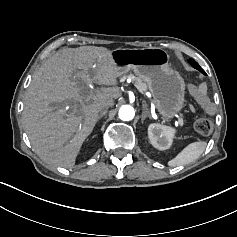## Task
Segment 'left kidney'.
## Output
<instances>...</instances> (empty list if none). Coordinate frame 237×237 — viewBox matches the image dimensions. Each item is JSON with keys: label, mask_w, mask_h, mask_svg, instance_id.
<instances>
[{"label": "left kidney", "mask_w": 237, "mask_h": 237, "mask_svg": "<svg viewBox=\"0 0 237 237\" xmlns=\"http://www.w3.org/2000/svg\"><path fill=\"white\" fill-rule=\"evenodd\" d=\"M174 130L159 124H151L148 128L150 143L156 149L162 151L171 146Z\"/></svg>", "instance_id": "5707ae66"}]
</instances>
